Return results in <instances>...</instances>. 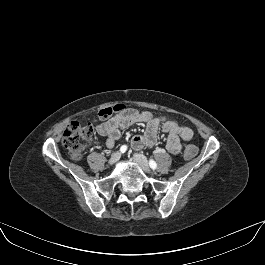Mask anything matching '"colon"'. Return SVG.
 <instances>
[{"label": "colon", "instance_id": "1", "mask_svg": "<svg viewBox=\"0 0 265 265\" xmlns=\"http://www.w3.org/2000/svg\"><path fill=\"white\" fill-rule=\"evenodd\" d=\"M126 107L122 104L115 105L114 107L104 108L99 112L101 119H108L114 113H120ZM95 139V130L92 126H84L78 122H72L71 125L64 131L62 144L67 150L69 155L75 159H81L86 148ZM198 153V150L193 145H188L184 149L185 159H192Z\"/></svg>", "mask_w": 265, "mask_h": 265}]
</instances>
